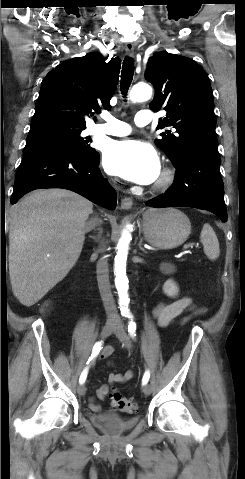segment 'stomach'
<instances>
[{"label":"stomach","instance_id":"obj_1","mask_svg":"<svg viewBox=\"0 0 245 479\" xmlns=\"http://www.w3.org/2000/svg\"><path fill=\"white\" fill-rule=\"evenodd\" d=\"M143 233L150 245L172 249L187 240L191 223L183 212L175 208L152 209L143 215Z\"/></svg>","mask_w":245,"mask_h":479}]
</instances>
